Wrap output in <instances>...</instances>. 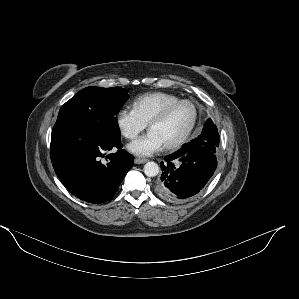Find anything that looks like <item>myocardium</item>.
<instances>
[{
    "mask_svg": "<svg viewBox=\"0 0 299 299\" xmlns=\"http://www.w3.org/2000/svg\"><path fill=\"white\" fill-rule=\"evenodd\" d=\"M182 104H189L192 106L193 111H194V116H193L192 122H191L190 126L187 128V130L177 140L164 146V149H166V150L176 149V148L180 147L181 145H183L188 140V138L194 131V129L197 125V122H198L199 108H198L197 104L193 100H190V99H180L176 102L166 105L148 123V128L150 130L154 125L164 121L174 109H176L178 106H180Z\"/></svg>",
    "mask_w": 299,
    "mask_h": 299,
    "instance_id": "1",
    "label": "myocardium"
}]
</instances>
